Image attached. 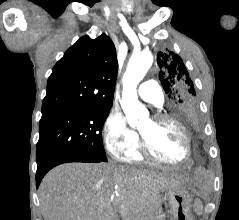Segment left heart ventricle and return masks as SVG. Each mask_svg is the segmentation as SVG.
<instances>
[{"label":"left heart ventricle","mask_w":239,"mask_h":220,"mask_svg":"<svg viewBox=\"0 0 239 220\" xmlns=\"http://www.w3.org/2000/svg\"><path fill=\"white\" fill-rule=\"evenodd\" d=\"M139 131L160 157L177 161L185 156V141L177 126L169 123L157 124L147 118L139 125Z\"/></svg>","instance_id":"b2bd125f"}]
</instances>
